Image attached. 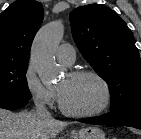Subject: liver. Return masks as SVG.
<instances>
[{
	"label": "liver",
	"instance_id": "6515ba94",
	"mask_svg": "<svg viewBox=\"0 0 141 139\" xmlns=\"http://www.w3.org/2000/svg\"><path fill=\"white\" fill-rule=\"evenodd\" d=\"M69 123L39 118L35 112L0 108V139H55Z\"/></svg>",
	"mask_w": 141,
	"mask_h": 139
}]
</instances>
